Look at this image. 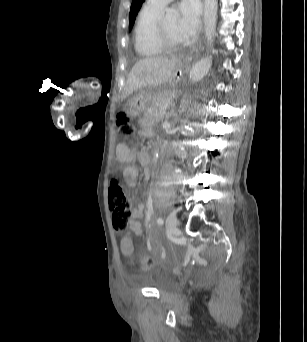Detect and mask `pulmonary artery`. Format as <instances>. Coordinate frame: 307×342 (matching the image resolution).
Here are the masks:
<instances>
[{"label": "pulmonary artery", "instance_id": "pulmonary-artery-1", "mask_svg": "<svg viewBox=\"0 0 307 342\" xmlns=\"http://www.w3.org/2000/svg\"><path fill=\"white\" fill-rule=\"evenodd\" d=\"M172 1H146L147 8L160 13Z\"/></svg>", "mask_w": 307, "mask_h": 342}]
</instances>
